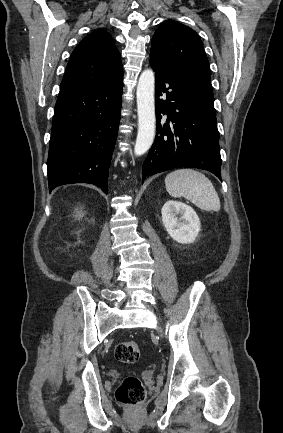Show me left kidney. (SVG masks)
<instances>
[{"label":"left kidney","instance_id":"1","mask_svg":"<svg viewBox=\"0 0 283 433\" xmlns=\"http://www.w3.org/2000/svg\"><path fill=\"white\" fill-rule=\"evenodd\" d=\"M168 234L178 243H193L200 231V220L194 209L182 202L169 200L161 210Z\"/></svg>","mask_w":283,"mask_h":433}]
</instances>
